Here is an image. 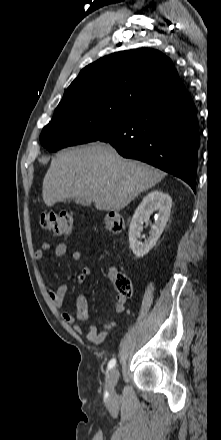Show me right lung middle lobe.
<instances>
[{
  "label": "right lung middle lobe",
  "mask_w": 221,
  "mask_h": 440,
  "mask_svg": "<svg viewBox=\"0 0 221 440\" xmlns=\"http://www.w3.org/2000/svg\"><path fill=\"white\" fill-rule=\"evenodd\" d=\"M135 109L108 101L77 102L56 108L52 120L41 133L47 150L96 141L115 129Z\"/></svg>",
  "instance_id": "obj_1"
}]
</instances>
